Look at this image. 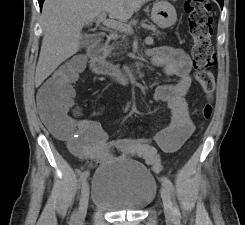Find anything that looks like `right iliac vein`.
<instances>
[{
	"label": "right iliac vein",
	"mask_w": 245,
	"mask_h": 225,
	"mask_svg": "<svg viewBox=\"0 0 245 225\" xmlns=\"http://www.w3.org/2000/svg\"><path fill=\"white\" fill-rule=\"evenodd\" d=\"M88 201H89V183L87 180H85L83 181L82 184L80 204L75 220L80 221L86 216Z\"/></svg>",
	"instance_id": "1"
}]
</instances>
